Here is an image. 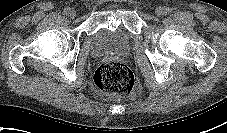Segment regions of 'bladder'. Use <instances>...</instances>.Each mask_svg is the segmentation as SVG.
<instances>
[{
	"label": "bladder",
	"instance_id": "31cf9c89",
	"mask_svg": "<svg viewBox=\"0 0 227 133\" xmlns=\"http://www.w3.org/2000/svg\"><path fill=\"white\" fill-rule=\"evenodd\" d=\"M132 43V35L122 26L111 30L99 29L90 42V53L94 56L104 54H126Z\"/></svg>",
	"mask_w": 227,
	"mask_h": 133
}]
</instances>
